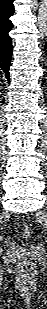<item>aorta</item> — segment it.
<instances>
[{"mask_svg": "<svg viewBox=\"0 0 47 309\" xmlns=\"http://www.w3.org/2000/svg\"><path fill=\"white\" fill-rule=\"evenodd\" d=\"M38 28L42 35L46 34L47 30V4L44 2L39 9Z\"/></svg>", "mask_w": 47, "mask_h": 309, "instance_id": "aorta-1", "label": "aorta"}]
</instances>
